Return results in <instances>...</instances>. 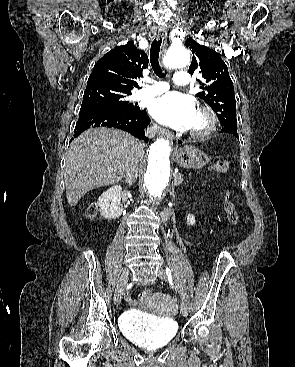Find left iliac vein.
Masks as SVG:
<instances>
[{"label": "left iliac vein", "mask_w": 295, "mask_h": 367, "mask_svg": "<svg viewBox=\"0 0 295 367\" xmlns=\"http://www.w3.org/2000/svg\"><path fill=\"white\" fill-rule=\"evenodd\" d=\"M158 277L160 279H162V280H166L167 279V274H166L165 270L163 268H161V267L158 269ZM177 288H179V287L177 286ZM180 307H181L182 314L184 316H187V314H188V306H187V304H186V302H185V300L183 298L181 299V305H180Z\"/></svg>", "instance_id": "4c4485c4"}]
</instances>
